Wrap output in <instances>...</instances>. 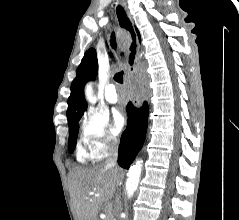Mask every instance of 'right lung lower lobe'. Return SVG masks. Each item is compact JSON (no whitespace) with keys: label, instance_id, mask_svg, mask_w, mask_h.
Returning a JSON list of instances; mask_svg holds the SVG:
<instances>
[{"label":"right lung lower lobe","instance_id":"obj_1","mask_svg":"<svg viewBox=\"0 0 239 220\" xmlns=\"http://www.w3.org/2000/svg\"><path fill=\"white\" fill-rule=\"evenodd\" d=\"M128 126L120 139L118 164L129 169L130 164L140 151L146 136L148 124V104L137 109L131 102L127 105Z\"/></svg>","mask_w":239,"mask_h":220}]
</instances>
